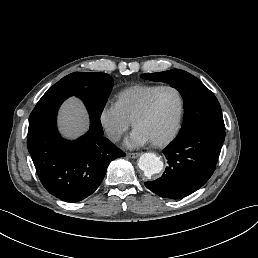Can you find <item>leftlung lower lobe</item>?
<instances>
[{"mask_svg": "<svg viewBox=\"0 0 258 258\" xmlns=\"http://www.w3.org/2000/svg\"><path fill=\"white\" fill-rule=\"evenodd\" d=\"M225 139V130L201 128L174 139L163 153L168 160L164 174L145 186L163 198H184L201 188L213 174Z\"/></svg>", "mask_w": 258, "mask_h": 258, "instance_id": "left-lung-lower-lobe-1", "label": "left lung lower lobe"}]
</instances>
